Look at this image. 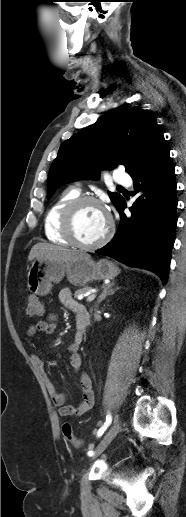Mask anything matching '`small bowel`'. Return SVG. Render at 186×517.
<instances>
[{"mask_svg": "<svg viewBox=\"0 0 186 517\" xmlns=\"http://www.w3.org/2000/svg\"><path fill=\"white\" fill-rule=\"evenodd\" d=\"M59 300L61 304L72 311L74 314H78L79 311L86 309L82 303L75 301L72 297V293L69 289H62L59 293ZM57 327L56 320L53 317H48L44 320H40L31 324L27 329L29 336L35 335L37 332H43L46 334H52ZM83 341V334L76 331L73 337L72 344L69 347L70 352V365L75 373H79L82 369V358L80 355V345ZM32 362L35 364L37 369L40 371L47 391L51 396L53 403L59 407L60 416H81L90 410L94 405V392L92 389V381L87 373H81L80 383L82 389V399L77 405L67 404V395L63 391H59L55 388L53 383L48 378L44 371L45 361L36 353L30 355Z\"/></svg>", "mask_w": 186, "mask_h": 517, "instance_id": "obj_1", "label": "small bowel"}]
</instances>
